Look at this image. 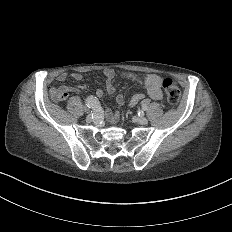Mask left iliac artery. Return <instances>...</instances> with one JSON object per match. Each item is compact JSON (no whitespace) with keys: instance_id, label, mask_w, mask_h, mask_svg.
I'll return each mask as SVG.
<instances>
[{"instance_id":"left-iliac-artery-1","label":"left iliac artery","mask_w":232,"mask_h":232,"mask_svg":"<svg viewBox=\"0 0 232 232\" xmlns=\"http://www.w3.org/2000/svg\"><path fill=\"white\" fill-rule=\"evenodd\" d=\"M137 115L139 118H143L144 117V112L142 110H138Z\"/></svg>"}]
</instances>
